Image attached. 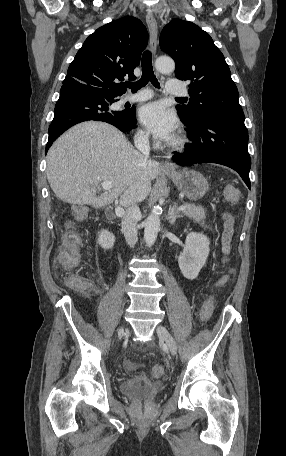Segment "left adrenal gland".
I'll use <instances>...</instances> for the list:
<instances>
[{
	"label": "left adrenal gland",
	"instance_id": "a2214340",
	"mask_svg": "<svg viewBox=\"0 0 286 456\" xmlns=\"http://www.w3.org/2000/svg\"><path fill=\"white\" fill-rule=\"evenodd\" d=\"M181 217H182V215L178 214L176 211V204L172 208L169 209L167 219L170 224L173 225L175 223L176 219L181 218Z\"/></svg>",
	"mask_w": 286,
	"mask_h": 456
}]
</instances>
